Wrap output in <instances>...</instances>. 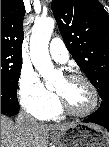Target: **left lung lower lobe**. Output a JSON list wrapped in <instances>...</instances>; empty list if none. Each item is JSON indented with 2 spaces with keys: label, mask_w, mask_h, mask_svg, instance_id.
I'll return each instance as SVG.
<instances>
[{
  "label": "left lung lower lobe",
  "mask_w": 109,
  "mask_h": 147,
  "mask_svg": "<svg viewBox=\"0 0 109 147\" xmlns=\"http://www.w3.org/2000/svg\"><path fill=\"white\" fill-rule=\"evenodd\" d=\"M83 122H92L105 127L109 131V96L102 98L99 109Z\"/></svg>",
  "instance_id": "0a47b994"
}]
</instances>
